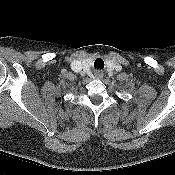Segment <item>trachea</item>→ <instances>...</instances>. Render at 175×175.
I'll use <instances>...</instances> for the list:
<instances>
[{
    "label": "trachea",
    "mask_w": 175,
    "mask_h": 175,
    "mask_svg": "<svg viewBox=\"0 0 175 175\" xmlns=\"http://www.w3.org/2000/svg\"><path fill=\"white\" fill-rule=\"evenodd\" d=\"M94 66H95L96 68L102 69V67H104V62H103L101 59H97V60L94 62Z\"/></svg>",
    "instance_id": "trachea-1"
}]
</instances>
